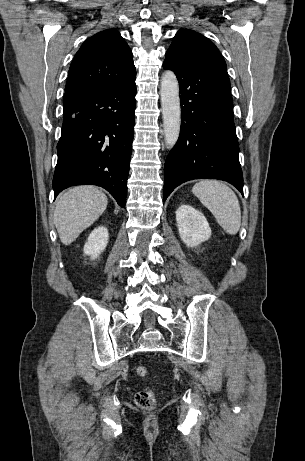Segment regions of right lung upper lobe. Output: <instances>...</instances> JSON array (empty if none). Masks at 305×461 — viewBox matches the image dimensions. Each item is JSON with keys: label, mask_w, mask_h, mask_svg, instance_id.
Instances as JSON below:
<instances>
[{"label": "right lung upper lobe", "mask_w": 305, "mask_h": 461, "mask_svg": "<svg viewBox=\"0 0 305 461\" xmlns=\"http://www.w3.org/2000/svg\"><path fill=\"white\" fill-rule=\"evenodd\" d=\"M136 75L132 52L115 29L88 38L77 51L69 69L66 94L106 88Z\"/></svg>", "instance_id": "obj_1"}]
</instances>
